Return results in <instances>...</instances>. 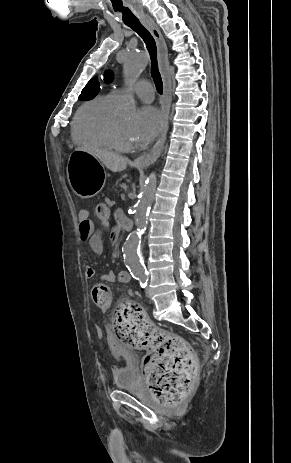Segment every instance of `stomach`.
<instances>
[{
	"instance_id": "1",
	"label": "stomach",
	"mask_w": 291,
	"mask_h": 463,
	"mask_svg": "<svg viewBox=\"0 0 291 463\" xmlns=\"http://www.w3.org/2000/svg\"><path fill=\"white\" fill-rule=\"evenodd\" d=\"M67 177L76 195L81 198L93 197L102 187V164L90 153L75 150L68 159Z\"/></svg>"
}]
</instances>
